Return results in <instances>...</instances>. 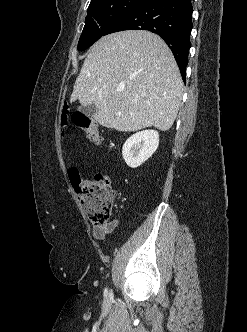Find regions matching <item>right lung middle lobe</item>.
<instances>
[{"label":"right lung middle lobe","mask_w":247,"mask_h":332,"mask_svg":"<svg viewBox=\"0 0 247 332\" xmlns=\"http://www.w3.org/2000/svg\"><path fill=\"white\" fill-rule=\"evenodd\" d=\"M145 1L147 0H99L90 4L78 50L83 51L93 45L114 22Z\"/></svg>","instance_id":"dd1d6c3e"}]
</instances>
